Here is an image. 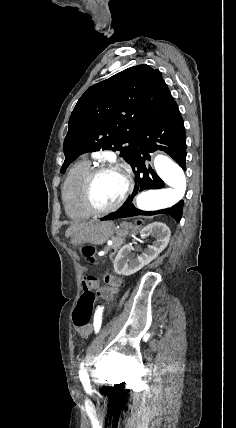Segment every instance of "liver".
Here are the masks:
<instances>
[{
    "mask_svg": "<svg viewBox=\"0 0 236 428\" xmlns=\"http://www.w3.org/2000/svg\"><path fill=\"white\" fill-rule=\"evenodd\" d=\"M88 222H85V224H72V226H69L65 232L66 238H69V236H77V234H80L82 228L86 226Z\"/></svg>",
    "mask_w": 236,
    "mask_h": 428,
    "instance_id": "6515ba94",
    "label": "liver"
}]
</instances>
